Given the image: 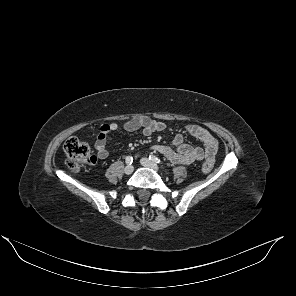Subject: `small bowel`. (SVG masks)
<instances>
[{
    "instance_id": "small-bowel-1",
    "label": "small bowel",
    "mask_w": 296,
    "mask_h": 296,
    "mask_svg": "<svg viewBox=\"0 0 296 296\" xmlns=\"http://www.w3.org/2000/svg\"><path fill=\"white\" fill-rule=\"evenodd\" d=\"M119 129L127 133L141 130L144 135L148 136L163 131L165 129V124L146 115L129 119L121 126L115 122L103 124L99 129L98 137L95 142V148L99 159L104 160L109 156L107 137L110 133L116 132ZM185 133L197 138L202 143V147H192L185 144L184 134L178 133L174 137L171 146L155 145L153 146V150L162 154L166 159L175 164L186 165L203 159L214 160L218 149V143L206 128L192 124L186 126Z\"/></svg>"
}]
</instances>
